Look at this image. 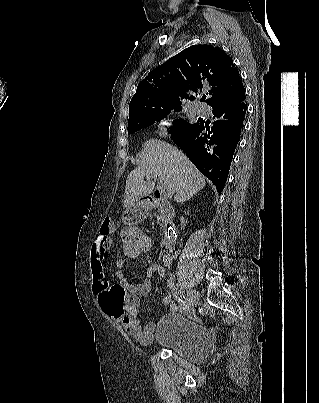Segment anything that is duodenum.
Wrapping results in <instances>:
<instances>
[{"label":"duodenum","mask_w":319,"mask_h":403,"mask_svg":"<svg viewBox=\"0 0 319 403\" xmlns=\"http://www.w3.org/2000/svg\"><path fill=\"white\" fill-rule=\"evenodd\" d=\"M159 208L165 219L164 235L161 241V247L165 251H172L175 248L178 235V228L173 222L174 209L166 200L164 194L157 190L151 196L144 197L138 205L136 211L143 217L150 210Z\"/></svg>","instance_id":"duodenum-1"}]
</instances>
